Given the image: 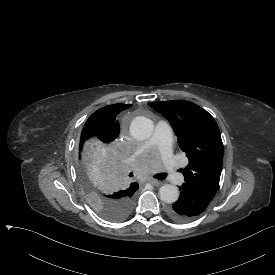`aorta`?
Segmentation results:
<instances>
[{"instance_id": "obj_1", "label": "aorta", "mask_w": 275, "mask_h": 275, "mask_svg": "<svg viewBox=\"0 0 275 275\" xmlns=\"http://www.w3.org/2000/svg\"><path fill=\"white\" fill-rule=\"evenodd\" d=\"M153 131L154 125L152 120L144 116L135 117L130 124V133L137 140L148 139ZM159 195L161 201L170 204L178 200L179 191L177 187L171 184H165L160 187Z\"/></svg>"}]
</instances>
